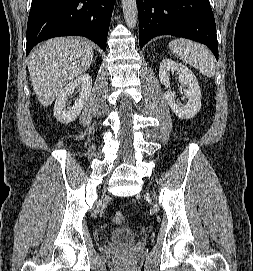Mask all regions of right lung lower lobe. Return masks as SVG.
Returning a JSON list of instances; mask_svg holds the SVG:
<instances>
[{
  "label": "right lung lower lobe",
  "instance_id": "1",
  "mask_svg": "<svg viewBox=\"0 0 253 271\" xmlns=\"http://www.w3.org/2000/svg\"><path fill=\"white\" fill-rule=\"evenodd\" d=\"M115 0H32L27 23L26 55L39 42L79 35L106 50Z\"/></svg>",
  "mask_w": 253,
  "mask_h": 271
}]
</instances>
